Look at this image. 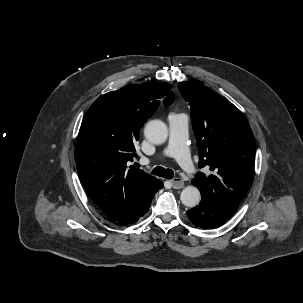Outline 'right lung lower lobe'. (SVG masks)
Returning <instances> with one entry per match:
<instances>
[{
  "instance_id": "right-lung-lower-lobe-1",
  "label": "right lung lower lobe",
  "mask_w": 303,
  "mask_h": 303,
  "mask_svg": "<svg viewBox=\"0 0 303 303\" xmlns=\"http://www.w3.org/2000/svg\"><path fill=\"white\" fill-rule=\"evenodd\" d=\"M163 187V183L158 180L154 187L147 190L138 201L131 207L127 208L120 214L110 219L117 225L126 226L131 225L138 221L142 216H144L151 206V201L154 193Z\"/></svg>"
}]
</instances>
